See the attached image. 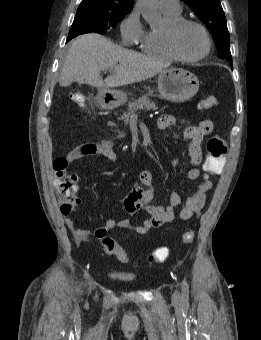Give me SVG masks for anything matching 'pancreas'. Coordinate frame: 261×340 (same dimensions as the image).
<instances>
[{
  "label": "pancreas",
  "instance_id": "pancreas-1",
  "mask_svg": "<svg viewBox=\"0 0 261 340\" xmlns=\"http://www.w3.org/2000/svg\"><path fill=\"white\" fill-rule=\"evenodd\" d=\"M150 95H153V93L142 95L138 99H135L131 103H129L128 111L124 112V114L122 115V119L124 120L125 124L129 123L130 116L138 110H144V109L157 110L158 109L155 103L149 99ZM122 137H124V135L119 134L118 138H122Z\"/></svg>",
  "mask_w": 261,
  "mask_h": 340
}]
</instances>
